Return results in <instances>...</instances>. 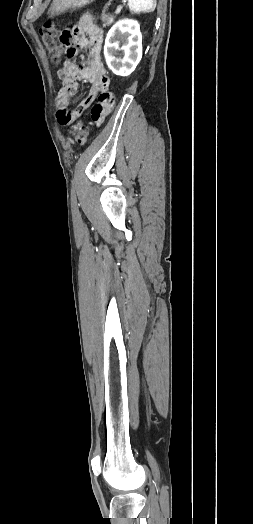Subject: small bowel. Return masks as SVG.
<instances>
[{
	"label": "small bowel",
	"mask_w": 253,
	"mask_h": 524,
	"mask_svg": "<svg viewBox=\"0 0 253 524\" xmlns=\"http://www.w3.org/2000/svg\"><path fill=\"white\" fill-rule=\"evenodd\" d=\"M103 34V29L93 21L92 17L85 15L79 19L74 28L65 26L58 36L65 65L58 71L62 86L57 94V104L60 110H68L77 92V82L80 80L89 82L91 88L80 103L79 112L92 106L91 120L98 127L105 126V118L110 116V110H113L117 104V97L114 95V90L109 87V78L106 76L101 56ZM79 48L88 50L90 60L74 64L73 62L79 60L77 51ZM74 117L75 115L69 112L68 121L61 124L68 125Z\"/></svg>",
	"instance_id": "small-bowel-1"
}]
</instances>
